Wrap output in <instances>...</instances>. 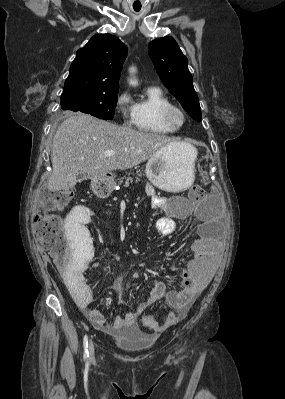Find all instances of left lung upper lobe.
I'll return each instance as SVG.
<instances>
[{
	"label": "left lung upper lobe",
	"mask_w": 285,
	"mask_h": 399,
	"mask_svg": "<svg viewBox=\"0 0 285 399\" xmlns=\"http://www.w3.org/2000/svg\"><path fill=\"white\" fill-rule=\"evenodd\" d=\"M148 47L149 56L165 87L194 120L201 121V109L187 67L188 60L177 42L172 37H163L151 41Z\"/></svg>",
	"instance_id": "left-lung-upper-lobe-1"
}]
</instances>
